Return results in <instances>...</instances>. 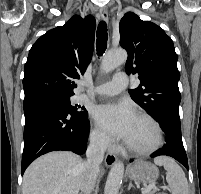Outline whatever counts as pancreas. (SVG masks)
Instances as JSON below:
<instances>
[{
	"instance_id": "pancreas-1",
	"label": "pancreas",
	"mask_w": 201,
	"mask_h": 194,
	"mask_svg": "<svg viewBox=\"0 0 201 194\" xmlns=\"http://www.w3.org/2000/svg\"><path fill=\"white\" fill-rule=\"evenodd\" d=\"M158 191L157 188H153L152 190H150L149 192H147L146 194H155Z\"/></svg>"
}]
</instances>
